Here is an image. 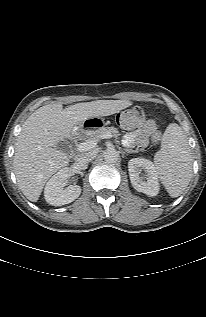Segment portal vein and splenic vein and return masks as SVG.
<instances>
[{"label": "portal vein and splenic vein", "instance_id": "18ae733b", "mask_svg": "<svg viewBox=\"0 0 206 317\" xmlns=\"http://www.w3.org/2000/svg\"><path fill=\"white\" fill-rule=\"evenodd\" d=\"M112 137V135L111 134H103L102 136H101V138L102 139H107V138H111ZM96 145H97V140H89V141H87V142H83V143H80L79 145H78V150L79 151H88V150H91V149H93L94 147H96Z\"/></svg>", "mask_w": 206, "mask_h": 317}]
</instances>
